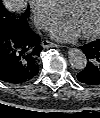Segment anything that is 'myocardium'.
Returning a JSON list of instances; mask_svg holds the SVG:
<instances>
[{
    "instance_id": "myocardium-1",
    "label": "myocardium",
    "mask_w": 100,
    "mask_h": 118,
    "mask_svg": "<svg viewBox=\"0 0 100 118\" xmlns=\"http://www.w3.org/2000/svg\"><path fill=\"white\" fill-rule=\"evenodd\" d=\"M83 2H84V0H73L65 8V15L68 16L69 12H71L72 10L79 7ZM99 33H100V9H99V15H98V20H97L96 26L88 32H83V36L89 38V37H94V36L98 35Z\"/></svg>"
}]
</instances>
